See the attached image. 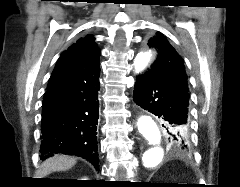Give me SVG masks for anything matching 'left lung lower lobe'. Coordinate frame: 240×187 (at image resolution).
<instances>
[{
  "label": "left lung lower lobe",
  "instance_id": "obj_1",
  "mask_svg": "<svg viewBox=\"0 0 240 187\" xmlns=\"http://www.w3.org/2000/svg\"><path fill=\"white\" fill-rule=\"evenodd\" d=\"M189 98L188 91L163 81L150 70L137 76L133 100L164 122L168 141L175 149L188 150L190 144L176 130V127H188Z\"/></svg>",
  "mask_w": 240,
  "mask_h": 187
}]
</instances>
